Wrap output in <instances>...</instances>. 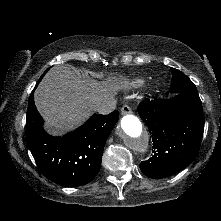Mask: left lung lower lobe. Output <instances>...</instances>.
Here are the masks:
<instances>
[{
	"instance_id": "obj_1",
	"label": "left lung lower lobe",
	"mask_w": 221,
	"mask_h": 221,
	"mask_svg": "<svg viewBox=\"0 0 221 221\" xmlns=\"http://www.w3.org/2000/svg\"><path fill=\"white\" fill-rule=\"evenodd\" d=\"M138 113L152 134L154 155L140 163L150 178H163L187 167L197 155L204 131L202 102L197 89L160 100L146 99Z\"/></svg>"
}]
</instances>
